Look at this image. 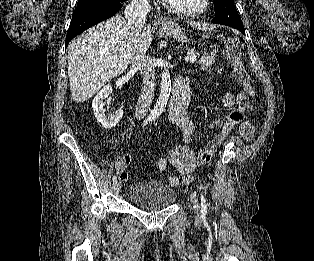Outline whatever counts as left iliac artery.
Segmentation results:
<instances>
[{"label":"left iliac artery","instance_id":"obj_1","mask_svg":"<svg viewBox=\"0 0 314 261\" xmlns=\"http://www.w3.org/2000/svg\"><path fill=\"white\" fill-rule=\"evenodd\" d=\"M201 212L202 214L206 215L207 214V202H206V199L203 195V192H201Z\"/></svg>","mask_w":314,"mask_h":261}]
</instances>
